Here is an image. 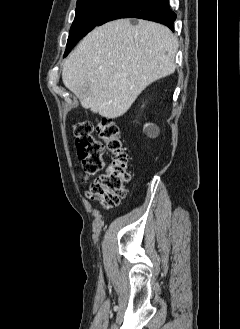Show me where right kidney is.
<instances>
[{"instance_id":"ca27d5eb","label":"right kidney","mask_w":240,"mask_h":329,"mask_svg":"<svg viewBox=\"0 0 240 329\" xmlns=\"http://www.w3.org/2000/svg\"><path fill=\"white\" fill-rule=\"evenodd\" d=\"M145 132L147 134H152L154 133L155 131H157V126L156 125H153V124H147L144 128Z\"/></svg>"}]
</instances>
